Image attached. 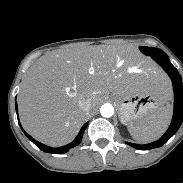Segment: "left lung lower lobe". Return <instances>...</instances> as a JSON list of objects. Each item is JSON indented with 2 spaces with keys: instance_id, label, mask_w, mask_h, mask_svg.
I'll return each mask as SVG.
<instances>
[{
  "instance_id": "obj_1",
  "label": "left lung lower lobe",
  "mask_w": 183,
  "mask_h": 183,
  "mask_svg": "<svg viewBox=\"0 0 183 183\" xmlns=\"http://www.w3.org/2000/svg\"><path fill=\"white\" fill-rule=\"evenodd\" d=\"M149 56L165 70L172 80L174 90V114L168 130L159 140L145 145L127 143L139 150H149L161 147L177 132L183 121V83L180 74L171 64L165 52L158 50L157 53L152 52V55Z\"/></svg>"
}]
</instances>
